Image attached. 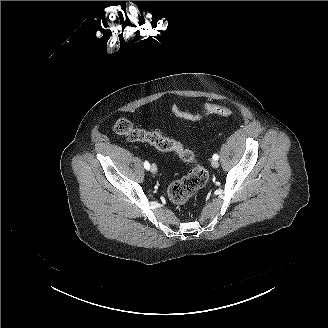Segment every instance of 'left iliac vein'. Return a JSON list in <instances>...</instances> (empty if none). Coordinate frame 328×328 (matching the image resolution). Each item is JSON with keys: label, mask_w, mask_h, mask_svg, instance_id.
Masks as SVG:
<instances>
[{"label": "left iliac vein", "mask_w": 328, "mask_h": 328, "mask_svg": "<svg viewBox=\"0 0 328 328\" xmlns=\"http://www.w3.org/2000/svg\"><path fill=\"white\" fill-rule=\"evenodd\" d=\"M211 165H212V167H214V168H218V166H219V163H218V161L217 160H212V162H211Z\"/></svg>", "instance_id": "4c4485c4"}]
</instances>
